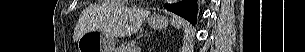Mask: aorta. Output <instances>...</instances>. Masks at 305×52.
I'll return each mask as SVG.
<instances>
[{
  "label": "aorta",
  "mask_w": 305,
  "mask_h": 52,
  "mask_svg": "<svg viewBox=\"0 0 305 52\" xmlns=\"http://www.w3.org/2000/svg\"><path fill=\"white\" fill-rule=\"evenodd\" d=\"M167 2L168 3H174V2H176V0H168Z\"/></svg>",
  "instance_id": "1"
}]
</instances>
